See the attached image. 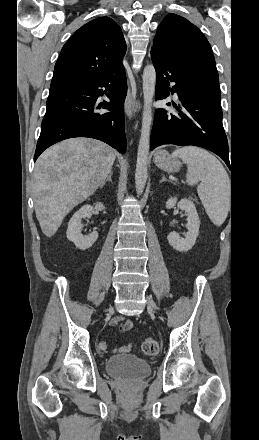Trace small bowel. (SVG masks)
Instances as JSON below:
<instances>
[{"instance_id":"1","label":"small bowel","mask_w":259,"mask_h":440,"mask_svg":"<svg viewBox=\"0 0 259 440\" xmlns=\"http://www.w3.org/2000/svg\"><path fill=\"white\" fill-rule=\"evenodd\" d=\"M112 324L119 328L121 331H127L133 327V322L131 320H124L123 317L118 316L113 319ZM100 348L103 350L107 349V344L105 342L100 343ZM131 348V345L121 347L118 351L125 352Z\"/></svg>"}]
</instances>
